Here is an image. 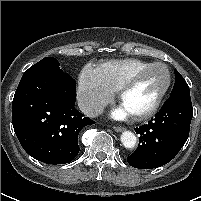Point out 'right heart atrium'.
Here are the masks:
<instances>
[{"instance_id":"right-heart-atrium-1","label":"right heart atrium","mask_w":201,"mask_h":201,"mask_svg":"<svg viewBox=\"0 0 201 201\" xmlns=\"http://www.w3.org/2000/svg\"><path fill=\"white\" fill-rule=\"evenodd\" d=\"M112 91L97 68L86 66L79 75L77 99L80 109L88 116L98 115L113 99Z\"/></svg>"}]
</instances>
